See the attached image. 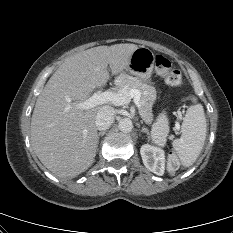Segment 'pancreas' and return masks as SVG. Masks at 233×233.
I'll use <instances>...</instances> for the list:
<instances>
[{
  "label": "pancreas",
  "mask_w": 233,
  "mask_h": 233,
  "mask_svg": "<svg viewBox=\"0 0 233 233\" xmlns=\"http://www.w3.org/2000/svg\"><path fill=\"white\" fill-rule=\"evenodd\" d=\"M117 91L120 92L124 87L128 90L137 89L141 92L139 113L146 124L150 125L153 122L152 107L156 99V92L152 86L143 83L138 78L127 74H121L116 81ZM167 128L164 125L155 124L152 126L153 140L163 145L166 141Z\"/></svg>",
  "instance_id": "pancreas-1"
}]
</instances>
